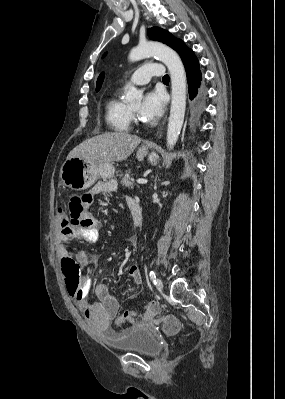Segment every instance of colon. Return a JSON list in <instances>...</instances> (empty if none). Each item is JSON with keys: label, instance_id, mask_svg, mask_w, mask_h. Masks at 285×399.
Segmentation results:
<instances>
[{"label": "colon", "instance_id": "colon-1", "mask_svg": "<svg viewBox=\"0 0 285 399\" xmlns=\"http://www.w3.org/2000/svg\"><path fill=\"white\" fill-rule=\"evenodd\" d=\"M92 195H87L82 199L70 198L62 200L60 209L63 224H69L76 230H85L90 225V219L87 217L85 207L91 203ZM61 270L65 277L66 287L69 294L74 295L79 290L81 284V267L73 257L61 259ZM77 299L81 297V288L76 295ZM160 312V307L156 302L148 304L145 308V314L153 318ZM139 311L136 309L125 310L115 319L116 326H124L136 322ZM163 330L168 334L175 333L178 328V322L173 318H164L161 320Z\"/></svg>", "mask_w": 285, "mask_h": 399}]
</instances>
